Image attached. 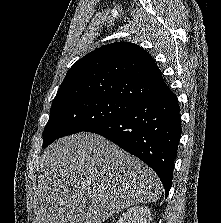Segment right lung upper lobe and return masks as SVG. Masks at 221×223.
<instances>
[{
  "mask_svg": "<svg viewBox=\"0 0 221 223\" xmlns=\"http://www.w3.org/2000/svg\"><path fill=\"white\" fill-rule=\"evenodd\" d=\"M170 90L151 55L128 42L102 46L68 70L53 103L101 96L135 104Z\"/></svg>",
  "mask_w": 221,
  "mask_h": 223,
  "instance_id": "cb5924a9",
  "label": "right lung upper lobe"
}]
</instances>
